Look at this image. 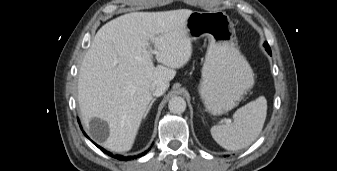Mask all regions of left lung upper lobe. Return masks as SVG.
I'll use <instances>...</instances> for the list:
<instances>
[{
	"label": "left lung upper lobe",
	"mask_w": 337,
	"mask_h": 171,
	"mask_svg": "<svg viewBox=\"0 0 337 171\" xmlns=\"http://www.w3.org/2000/svg\"><path fill=\"white\" fill-rule=\"evenodd\" d=\"M264 46H265L266 51H267L269 54H271V49H270V47H269V45H268L267 42L264 43Z\"/></svg>",
	"instance_id": "5c2ea615"
}]
</instances>
